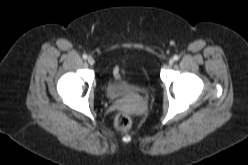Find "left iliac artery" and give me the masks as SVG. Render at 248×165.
<instances>
[{"label": "left iliac artery", "mask_w": 248, "mask_h": 165, "mask_svg": "<svg viewBox=\"0 0 248 165\" xmlns=\"http://www.w3.org/2000/svg\"><path fill=\"white\" fill-rule=\"evenodd\" d=\"M173 58H174V60L177 61L179 59V56L178 55H175Z\"/></svg>", "instance_id": "44dca946"}]
</instances>
